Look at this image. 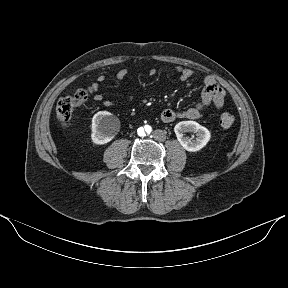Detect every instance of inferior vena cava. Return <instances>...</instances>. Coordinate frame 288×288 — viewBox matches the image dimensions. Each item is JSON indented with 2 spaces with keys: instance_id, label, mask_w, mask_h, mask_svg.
Here are the masks:
<instances>
[{
  "instance_id": "inferior-vena-cava-1",
  "label": "inferior vena cava",
  "mask_w": 288,
  "mask_h": 288,
  "mask_svg": "<svg viewBox=\"0 0 288 288\" xmlns=\"http://www.w3.org/2000/svg\"><path fill=\"white\" fill-rule=\"evenodd\" d=\"M151 138L155 142H162L166 138V133L162 129H155L151 133Z\"/></svg>"
}]
</instances>
